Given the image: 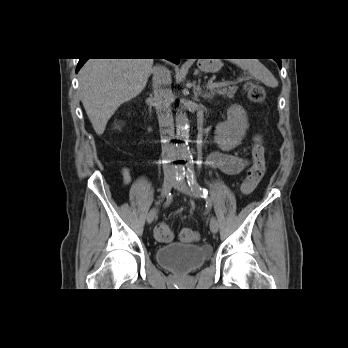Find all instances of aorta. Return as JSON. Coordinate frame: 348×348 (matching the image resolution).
Here are the masks:
<instances>
[{
  "label": "aorta",
  "mask_w": 348,
  "mask_h": 348,
  "mask_svg": "<svg viewBox=\"0 0 348 348\" xmlns=\"http://www.w3.org/2000/svg\"><path fill=\"white\" fill-rule=\"evenodd\" d=\"M189 120L183 108L176 113V143L177 154L182 158H189L191 155L189 148Z\"/></svg>",
  "instance_id": "aorta-1"
}]
</instances>
